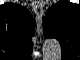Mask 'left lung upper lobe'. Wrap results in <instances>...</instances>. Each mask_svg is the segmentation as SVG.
<instances>
[{"mask_svg": "<svg viewBox=\"0 0 80 60\" xmlns=\"http://www.w3.org/2000/svg\"><path fill=\"white\" fill-rule=\"evenodd\" d=\"M76 14L77 9L74 4L60 1L52 5L44 18V36L59 40L63 54L77 49L80 45V35L74 27L75 22L73 23Z\"/></svg>", "mask_w": 80, "mask_h": 60, "instance_id": "5c2ea615", "label": "left lung upper lobe"}]
</instances>
